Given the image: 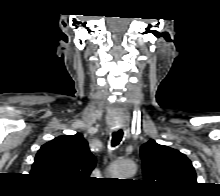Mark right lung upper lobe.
Returning a JSON list of instances; mask_svg holds the SVG:
<instances>
[{"instance_id":"cb5924a9","label":"right lung upper lobe","mask_w":220,"mask_h":196,"mask_svg":"<svg viewBox=\"0 0 220 196\" xmlns=\"http://www.w3.org/2000/svg\"><path fill=\"white\" fill-rule=\"evenodd\" d=\"M95 163V157L81 134L64 135L39 149L31 174L43 182L68 188L87 179Z\"/></svg>"}]
</instances>
